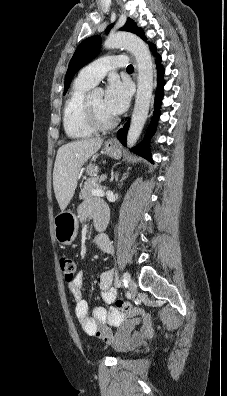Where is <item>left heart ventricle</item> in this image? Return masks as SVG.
Segmentation results:
<instances>
[{"mask_svg": "<svg viewBox=\"0 0 227 396\" xmlns=\"http://www.w3.org/2000/svg\"><path fill=\"white\" fill-rule=\"evenodd\" d=\"M97 114L104 120L113 118L104 108L102 96H94L89 99Z\"/></svg>", "mask_w": 227, "mask_h": 396, "instance_id": "1", "label": "left heart ventricle"}]
</instances>
